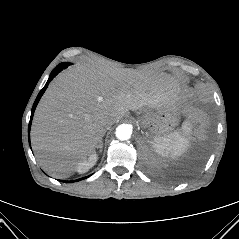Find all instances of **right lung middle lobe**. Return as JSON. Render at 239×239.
Wrapping results in <instances>:
<instances>
[{
    "instance_id": "1",
    "label": "right lung middle lobe",
    "mask_w": 239,
    "mask_h": 239,
    "mask_svg": "<svg viewBox=\"0 0 239 239\" xmlns=\"http://www.w3.org/2000/svg\"><path fill=\"white\" fill-rule=\"evenodd\" d=\"M68 65H70V63L63 62V63H60L59 65H57L55 69L61 71L62 69L66 68Z\"/></svg>"
}]
</instances>
